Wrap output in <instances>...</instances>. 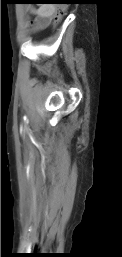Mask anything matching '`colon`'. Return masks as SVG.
I'll return each mask as SVG.
<instances>
[{
	"label": "colon",
	"instance_id": "5ec220e1",
	"mask_svg": "<svg viewBox=\"0 0 122 257\" xmlns=\"http://www.w3.org/2000/svg\"><path fill=\"white\" fill-rule=\"evenodd\" d=\"M71 2H57V8H55V17L54 21H51V26H49V31H58V26L63 19V16L66 15V10L68 7H71Z\"/></svg>",
	"mask_w": 122,
	"mask_h": 257
}]
</instances>
